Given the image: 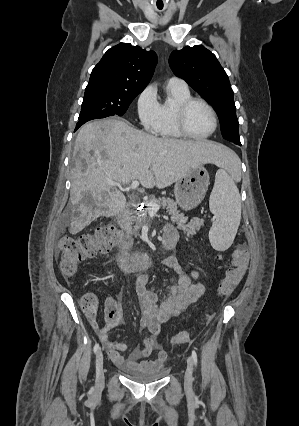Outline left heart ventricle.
Listing matches in <instances>:
<instances>
[{"instance_id": "1", "label": "left heart ventricle", "mask_w": 299, "mask_h": 426, "mask_svg": "<svg viewBox=\"0 0 299 426\" xmlns=\"http://www.w3.org/2000/svg\"><path fill=\"white\" fill-rule=\"evenodd\" d=\"M187 127L196 135H205L213 128L210 111L200 103L193 104L187 113Z\"/></svg>"}]
</instances>
